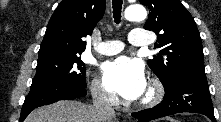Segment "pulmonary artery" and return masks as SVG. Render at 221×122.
Returning <instances> with one entry per match:
<instances>
[{
	"label": "pulmonary artery",
	"mask_w": 221,
	"mask_h": 122,
	"mask_svg": "<svg viewBox=\"0 0 221 122\" xmlns=\"http://www.w3.org/2000/svg\"><path fill=\"white\" fill-rule=\"evenodd\" d=\"M128 41L133 46H146L149 44L147 36L139 29L132 30L128 35ZM124 48V44L118 40L105 41L100 43L97 51L102 55H114L121 52Z\"/></svg>",
	"instance_id": "1"
}]
</instances>
